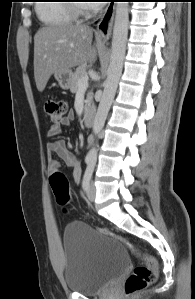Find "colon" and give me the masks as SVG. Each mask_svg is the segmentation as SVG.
I'll return each instance as SVG.
<instances>
[{
	"instance_id": "obj_1",
	"label": "colon",
	"mask_w": 195,
	"mask_h": 299,
	"mask_svg": "<svg viewBox=\"0 0 195 299\" xmlns=\"http://www.w3.org/2000/svg\"><path fill=\"white\" fill-rule=\"evenodd\" d=\"M44 109L53 122H59L65 117L68 106L63 100H47L44 104ZM50 183L57 202L60 205H66L70 200L67 176L61 171H55L50 177ZM101 233L126 245L141 260V264L134 268L123 284V290L126 295L135 294L156 281L157 261L153 256L142 253L127 238L107 228H102Z\"/></svg>"
}]
</instances>
